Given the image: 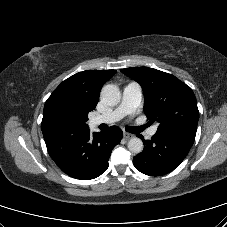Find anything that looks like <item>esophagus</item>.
<instances>
[{
	"label": "esophagus",
	"instance_id": "1",
	"mask_svg": "<svg viewBox=\"0 0 227 227\" xmlns=\"http://www.w3.org/2000/svg\"><path fill=\"white\" fill-rule=\"evenodd\" d=\"M123 137L126 139V140H129V139H132L134 137L133 134L131 133H128V132H124L123 133Z\"/></svg>",
	"mask_w": 227,
	"mask_h": 227
}]
</instances>
